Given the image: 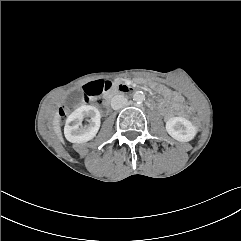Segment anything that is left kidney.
<instances>
[{"instance_id":"obj_1","label":"left kidney","mask_w":241,"mask_h":241,"mask_svg":"<svg viewBox=\"0 0 241 241\" xmlns=\"http://www.w3.org/2000/svg\"><path fill=\"white\" fill-rule=\"evenodd\" d=\"M166 130L171 137L181 142L191 141L197 133L192 122L183 117L170 118L166 122Z\"/></svg>"}]
</instances>
